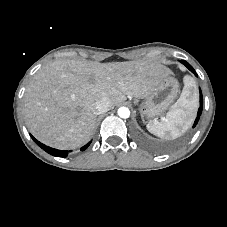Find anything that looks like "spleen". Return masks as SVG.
Here are the masks:
<instances>
[{
	"mask_svg": "<svg viewBox=\"0 0 227 227\" xmlns=\"http://www.w3.org/2000/svg\"><path fill=\"white\" fill-rule=\"evenodd\" d=\"M193 86V80L186 77L182 94L166 117L160 122L150 121L147 124L146 127L150 133L166 140H172L180 137L189 128L197 108L196 97H190V88Z\"/></svg>",
	"mask_w": 227,
	"mask_h": 227,
	"instance_id": "1",
	"label": "spleen"
}]
</instances>
